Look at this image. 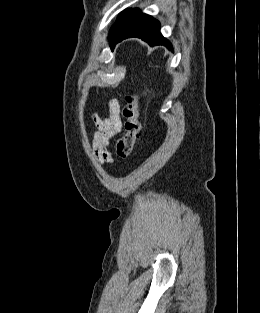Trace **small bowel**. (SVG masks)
I'll return each mask as SVG.
<instances>
[{
    "label": "small bowel",
    "instance_id": "c3829d8e",
    "mask_svg": "<svg viewBox=\"0 0 260 313\" xmlns=\"http://www.w3.org/2000/svg\"><path fill=\"white\" fill-rule=\"evenodd\" d=\"M121 106L117 99H111L108 103L106 117L93 116L96 130L92 139V148L100 163L111 162L112 155L109 151V143L112 137L121 132L122 121L120 115Z\"/></svg>",
    "mask_w": 260,
    "mask_h": 313
}]
</instances>
